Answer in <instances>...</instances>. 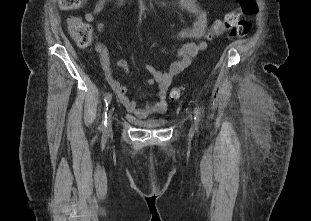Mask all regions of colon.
<instances>
[{
  "label": "colon",
  "mask_w": 311,
  "mask_h": 221,
  "mask_svg": "<svg viewBox=\"0 0 311 221\" xmlns=\"http://www.w3.org/2000/svg\"><path fill=\"white\" fill-rule=\"evenodd\" d=\"M88 0H65L58 1V8H67L68 12H76L77 4H87ZM240 6L243 9L242 13L237 11L229 12L222 21L214 22L212 25V31L216 34H220L221 31H225L228 28V24H231L235 18H239L240 15L245 14L247 17H255L256 12L259 9L257 0H240ZM250 28L249 21H240L237 26H233L231 33L237 37L244 36ZM67 29L71 37L81 48L88 47L92 42V26L89 22L84 21L78 16H72L67 21ZM183 94V87H173L168 93V99L175 101Z\"/></svg>",
  "instance_id": "1"
}]
</instances>
